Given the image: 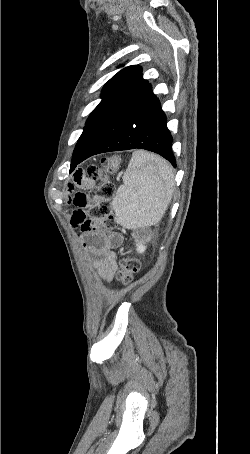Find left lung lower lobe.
Listing matches in <instances>:
<instances>
[{
    "instance_id": "obj_1",
    "label": "left lung lower lobe",
    "mask_w": 250,
    "mask_h": 454,
    "mask_svg": "<svg viewBox=\"0 0 250 454\" xmlns=\"http://www.w3.org/2000/svg\"><path fill=\"white\" fill-rule=\"evenodd\" d=\"M166 123L160 102L148 84L102 123L84 152L72 157L70 172L90 156L134 148L155 152L176 167Z\"/></svg>"
}]
</instances>
